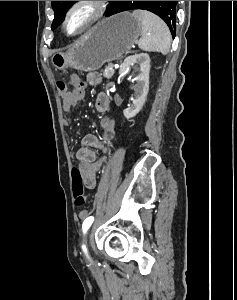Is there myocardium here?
Masks as SVG:
<instances>
[{
    "mask_svg": "<svg viewBox=\"0 0 237 300\" xmlns=\"http://www.w3.org/2000/svg\"><path fill=\"white\" fill-rule=\"evenodd\" d=\"M108 1H73L65 11L62 21V31L68 37H76L101 20L107 11ZM85 11L86 15L75 31H69L68 26L78 13Z\"/></svg>",
    "mask_w": 237,
    "mask_h": 300,
    "instance_id": "myocardium-1",
    "label": "myocardium"
}]
</instances>
